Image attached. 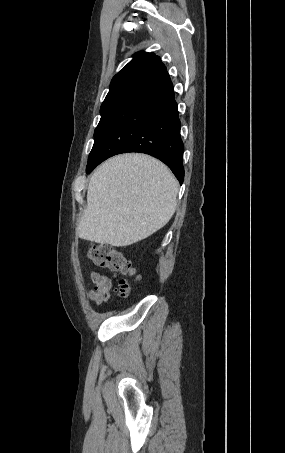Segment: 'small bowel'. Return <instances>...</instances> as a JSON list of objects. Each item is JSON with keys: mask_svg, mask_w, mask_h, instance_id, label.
<instances>
[{"mask_svg": "<svg viewBox=\"0 0 285 453\" xmlns=\"http://www.w3.org/2000/svg\"><path fill=\"white\" fill-rule=\"evenodd\" d=\"M90 278L94 284V287L88 289L86 292L88 300L95 302L97 305H101L105 302L111 290V281L105 275L98 272H91Z\"/></svg>", "mask_w": 285, "mask_h": 453, "instance_id": "small-bowel-1", "label": "small bowel"}]
</instances>
